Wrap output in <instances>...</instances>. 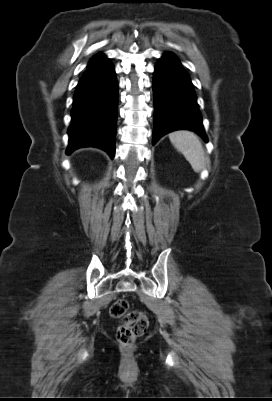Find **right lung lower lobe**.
I'll return each instance as SVG.
<instances>
[{"label": "right lung lower lobe", "mask_w": 272, "mask_h": 401, "mask_svg": "<svg viewBox=\"0 0 272 401\" xmlns=\"http://www.w3.org/2000/svg\"><path fill=\"white\" fill-rule=\"evenodd\" d=\"M118 84L114 66L102 53L95 55L77 85L66 153L94 146L115 155Z\"/></svg>", "instance_id": "right-lung-lower-lobe-1"}]
</instances>
